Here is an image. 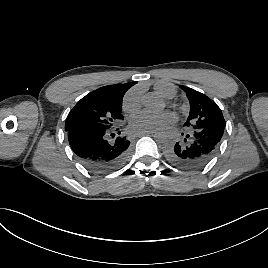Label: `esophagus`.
Here are the masks:
<instances>
[{
  "instance_id": "esophagus-1",
  "label": "esophagus",
  "mask_w": 268,
  "mask_h": 268,
  "mask_svg": "<svg viewBox=\"0 0 268 268\" xmlns=\"http://www.w3.org/2000/svg\"><path fill=\"white\" fill-rule=\"evenodd\" d=\"M140 137H141V138H144V137H145V134H144V133H141V134H140Z\"/></svg>"
}]
</instances>
